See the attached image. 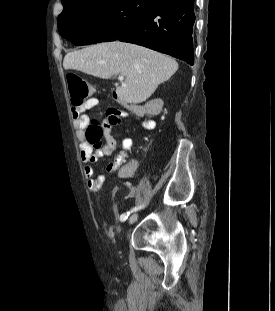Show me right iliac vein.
<instances>
[{
  "mask_svg": "<svg viewBox=\"0 0 275 311\" xmlns=\"http://www.w3.org/2000/svg\"><path fill=\"white\" fill-rule=\"evenodd\" d=\"M137 218H138V214L137 213L131 215L130 218H129V224H133L137 220Z\"/></svg>",
  "mask_w": 275,
  "mask_h": 311,
  "instance_id": "63e3f726",
  "label": "right iliac vein"
}]
</instances>
